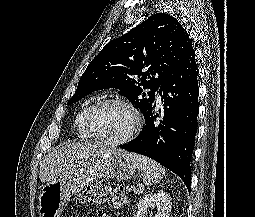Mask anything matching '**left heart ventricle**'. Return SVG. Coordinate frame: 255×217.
I'll use <instances>...</instances> for the list:
<instances>
[{
    "label": "left heart ventricle",
    "instance_id": "left-heart-ventricle-1",
    "mask_svg": "<svg viewBox=\"0 0 255 217\" xmlns=\"http://www.w3.org/2000/svg\"><path fill=\"white\" fill-rule=\"evenodd\" d=\"M92 125L103 138L117 140L131 130L134 125V116L122 105L107 104L94 111Z\"/></svg>",
    "mask_w": 255,
    "mask_h": 217
}]
</instances>
